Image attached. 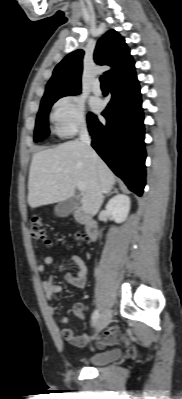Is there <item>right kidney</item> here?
Returning <instances> with one entry per match:
<instances>
[{"mask_svg": "<svg viewBox=\"0 0 182 399\" xmlns=\"http://www.w3.org/2000/svg\"><path fill=\"white\" fill-rule=\"evenodd\" d=\"M130 203V198L128 196L117 194L107 203L106 211L116 223H122L128 216Z\"/></svg>", "mask_w": 182, "mask_h": 399, "instance_id": "obj_1", "label": "right kidney"}]
</instances>
